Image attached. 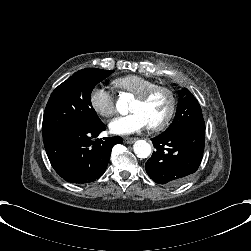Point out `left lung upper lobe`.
I'll return each instance as SVG.
<instances>
[{
	"label": "left lung upper lobe",
	"instance_id": "1",
	"mask_svg": "<svg viewBox=\"0 0 251 251\" xmlns=\"http://www.w3.org/2000/svg\"><path fill=\"white\" fill-rule=\"evenodd\" d=\"M189 127L205 129V122L201 107L196 98L188 89L182 88L175 118L171 125L161 133V135H166Z\"/></svg>",
	"mask_w": 251,
	"mask_h": 251
}]
</instances>
